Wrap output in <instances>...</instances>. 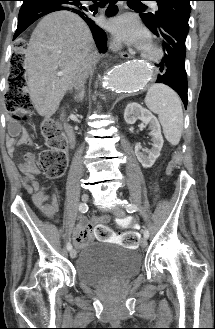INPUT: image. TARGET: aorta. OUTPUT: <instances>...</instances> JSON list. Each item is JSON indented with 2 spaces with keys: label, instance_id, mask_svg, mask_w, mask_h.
Segmentation results:
<instances>
[{
  "label": "aorta",
  "instance_id": "aorta-1",
  "mask_svg": "<svg viewBox=\"0 0 215 329\" xmlns=\"http://www.w3.org/2000/svg\"><path fill=\"white\" fill-rule=\"evenodd\" d=\"M151 73L140 62H118L104 74L101 87L105 91L130 93L141 90Z\"/></svg>",
  "mask_w": 215,
  "mask_h": 329
}]
</instances>
